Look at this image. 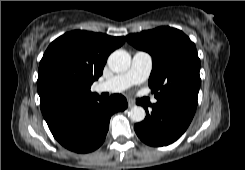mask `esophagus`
<instances>
[{
  "label": "esophagus",
  "mask_w": 245,
  "mask_h": 170,
  "mask_svg": "<svg viewBox=\"0 0 245 170\" xmlns=\"http://www.w3.org/2000/svg\"><path fill=\"white\" fill-rule=\"evenodd\" d=\"M128 107H133L135 103L132 100H128Z\"/></svg>",
  "instance_id": "esophagus-1"
}]
</instances>
